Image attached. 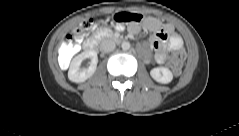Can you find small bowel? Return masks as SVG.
Instances as JSON below:
<instances>
[{"label": "small bowel", "instance_id": "c3829d8e", "mask_svg": "<svg viewBox=\"0 0 239 136\" xmlns=\"http://www.w3.org/2000/svg\"><path fill=\"white\" fill-rule=\"evenodd\" d=\"M144 29L154 32L151 45L155 50V60L159 64H164L167 60V49H179L182 45L180 36L173 32V27L169 24L162 25L159 20L153 17H148L143 23ZM119 28V27H118ZM164 29V30H163ZM140 27L132 25L129 27V32L132 35L139 33ZM170 37L167 41V33Z\"/></svg>", "mask_w": 239, "mask_h": 136}]
</instances>
